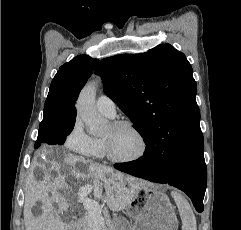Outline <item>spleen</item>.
I'll use <instances>...</instances> for the list:
<instances>
[{
	"label": "spleen",
	"mask_w": 241,
	"mask_h": 230,
	"mask_svg": "<svg viewBox=\"0 0 241 230\" xmlns=\"http://www.w3.org/2000/svg\"><path fill=\"white\" fill-rule=\"evenodd\" d=\"M171 195L179 209L182 230H197L196 218L188 201L177 191H172Z\"/></svg>",
	"instance_id": "1"
}]
</instances>
